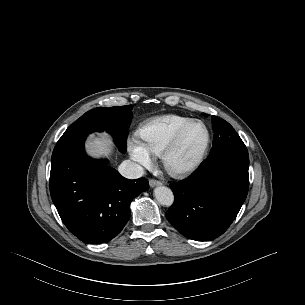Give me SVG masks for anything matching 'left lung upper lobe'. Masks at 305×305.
Listing matches in <instances>:
<instances>
[{
  "instance_id": "5c2ea615",
  "label": "left lung upper lobe",
  "mask_w": 305,
  "mask_h": 305,
  "mask_svg": "<svg viewBox=\"0 0 305 305\" xmlns=\"http://www.w3.org/2000/svg\"><path fill=\"white\" fill-rule=\"evenodd\" d=\"M211 118L214 140L213 148L208 158H215L231 151L247 152L245 144L228 122L216 116Z\"/></svg>"
}]
</instances>
